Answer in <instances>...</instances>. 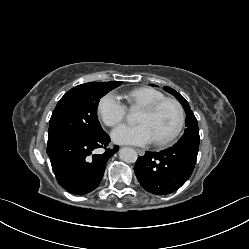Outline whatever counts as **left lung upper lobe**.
Here are the masks:
<instances>
[{
  "instance_id": "5c2ea615",
  "label": "left lung upper lobe",
  "mask_w": 249,
  "mask_h": 249,
  "mask_svg": "<svg viewBox=\"0 0 249 249\" xmlns=\"http://www.w3.org/2000/svg\"><path fill=\"white\" fill-rule=\"evenodd\" d=\"M164 89L178 99V101L182 104L186 113V129L184 131L183 136L179 139V141L175 145H182V144L199 145L200 137H199L197 119L194 116L193 112L191 111L188 102L174 89L170 87H165Z\"/></svg>"
}]
</instances>
